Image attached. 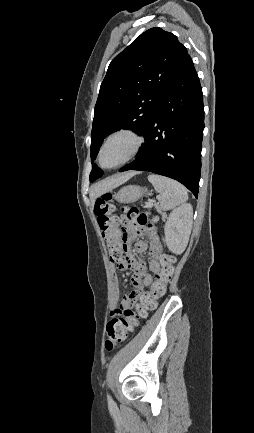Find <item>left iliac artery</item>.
<instances>
[{
  "label": "left iliac artery",
  "instance_id": "left-iliac-artery-1",
  "mask_svg": "<svg viewBox=\"0 0 254 433\" xmlns=\"http://www.w3.org/2000/svg\"><path fill=\"white\" fill-rule=\"evenodd\" d=\"M107 399H108L109 405H113L114 404V402H113V400H112V398H111L110 395H107Z\"/></svg>",
  "mask_w": 254,
  "mask_h": 433
}]
</instances>
